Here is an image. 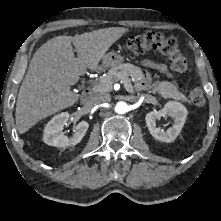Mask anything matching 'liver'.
Listing matches in <instances>:
<instances>
[{"mask_svg":"<svg viewBox=\"0 0 221 221\" xmlns=\"http://www.w3.org/2000/svg\"><path fill=\"white\" fill-rule=\"evenodd\" d=\"M124 28L110 27L75 36H57L34 54L21 84L15 119L20 134L38 121L74 105L80 95L72 92L87 69L98 68L110 46ZM72 44L78 57L74 56Z\"/></svg>","mask_w":221,"mask_h":221,"instance_id":"liver-1","label":"liver"}]
</instances>
